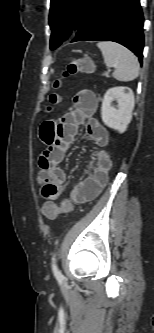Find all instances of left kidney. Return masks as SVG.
Wrapping results in <instances>:
<instances>
[{"label": "left kidney", "instance_id": "obj_1", "mask_svg": "<svg viewBox=\"0 0 154 333\" xmlns=\"http://www.w3.org/2000/svg\"><path fill=\"white\" fill-rule=\"evenodd\" d=\"M114 101L117 105L113 104ZM134 104V94L130 88L121 86L108 89L101 107L102 121L109 128L124 133L131 122Z\"/></svg>", "mask_w": 154, "mask_h": 333}]
</instances>
